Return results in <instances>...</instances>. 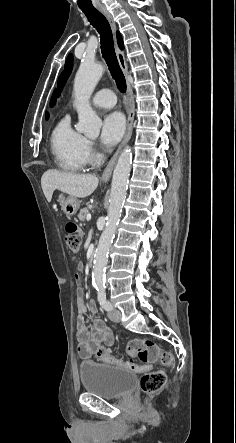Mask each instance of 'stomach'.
Returning <instances> with one entry per match:
<instances>
[{
  "label": "stomach",
  "instance_id": "obj_1",
  "mask_svg": "<svg viewBox=\"0 0 236 443\" xmlns=\"http://www.w3.org/2000/svg\"><path fill=\"white\" fill-rule=\"evenodd\" d=\"M58 201L66 216L75 215L80 208V200L72 196L65 197L63 194H60Z\"/></svg>",
  "mask_w": 236,
  "mask_h": 443
}]
</instances>
